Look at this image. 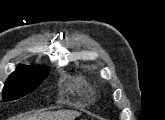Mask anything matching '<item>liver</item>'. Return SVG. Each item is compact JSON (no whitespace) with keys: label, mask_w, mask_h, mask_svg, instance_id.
I'll return each mask as SVG.
<instances>
[{"label":"liver","mask_w":165,"mask_h":120,"mask_svg":"<svg viewBox=\"0 0 165 120\" xmlns=\"http://www.w3.org/2000/svg\"><path fill=\"white\" fill-rule=\"evenodd\" d=\"M80 113L77 111H58L55 113H48L40 116H28L25 119L19 117V120H70L78 117Z\"/></svg>","instance_id":"1"}]
</instances>
